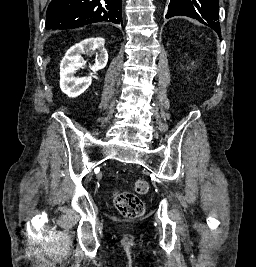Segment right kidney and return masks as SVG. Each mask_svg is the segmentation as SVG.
I'll return each instance as SVG.
<instances>
[{
  "instance_id": "ca27d5eb",
  "label": "right kidney",
  "mask_w": 256,
  "mask_h": 267,
  "mask_svg": "<svg viewBox=\"0 0 256 267\" xmlns=\"http://www.w3.org/2000/svg\"><path fill=\"white\" fill-rule=\"evenodd\" d=\"M94 50H98V58H96L95 64L89 68L92 72H98V70H103L108 62L104 38H87L67 50L60 64V88L68 98H77L89 88L93 74L84 76V78H75L74 74H76V70L86 66L82 54H86V52L90 54Z\"/></svg>"
}]
</instances>
